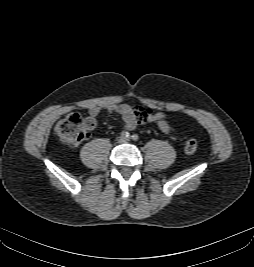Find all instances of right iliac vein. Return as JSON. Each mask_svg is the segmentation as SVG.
Listing matches in <instances>:
<instances>
[{"mask_svg":"<svg viewBox=\"0 0 254 267\" xmlns=\"http://www.w3.org/2000/svg\"><path fill=\"white\" fill-rule=\"evenodd\" d=\"M118 142H119V143L123 142V138H119V139H118Z\"/></svg>","mask_w":254,"mask_h":267,"instance_id":"right-iliac-vein-1","label":"right iliac vein"}]
</instances>
